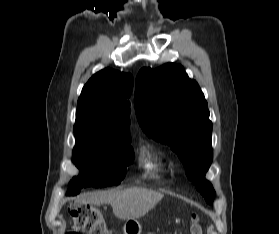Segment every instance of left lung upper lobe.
Listing matches in <instances>:
<instances>
[{"instance_id": "5c2ea615", "label": "left lung upper lobe", "mask_w": 279, "mask_h": 234, "mask_svg": "<svg viewBox=\"0 0 279 234\" xmlns=\"http://www.w3.org/2000/svg\"><path fill=\"white\" fill-rule=\"evenodd\" d=\"M134 103L143 131L177 153L187 177L212 204L215 191L205 179L213 159L212 122L198 83L175 63L155 70L142 68L136 78Z\"/></svg>"}]
</instances>
